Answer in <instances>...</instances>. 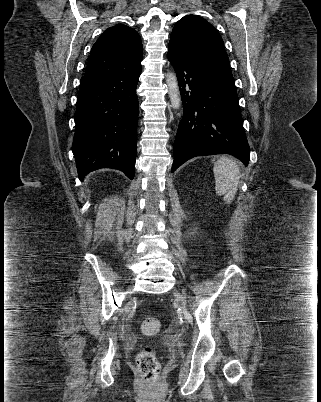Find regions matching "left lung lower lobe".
I'll return each instance as SVG.
<instances>
[{
  "label": "left lung lower lobe",
  "mask_w": 321,
  "mask_h": 402,
  "mask_svg": "<svg viewBox=\"0 0 321 402\" xmlns=\"http://www.w3.org/2000/svg\"><path fill=\"white\" fill-rule=\"evenodd\" d=\"M183 102L171 172L195 156L226 153L245 165L250 148L231 70L191 62L169 49Z\"/></svg>",
  "instance_id": "left-lung-lower-lobe-1"
}]
</instances>
